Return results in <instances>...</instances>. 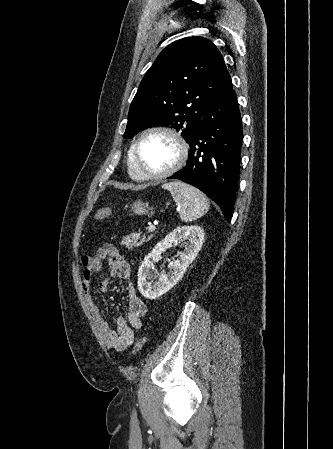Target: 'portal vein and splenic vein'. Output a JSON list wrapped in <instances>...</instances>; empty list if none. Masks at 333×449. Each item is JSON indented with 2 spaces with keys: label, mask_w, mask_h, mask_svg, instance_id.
Returning <instances> with one entry per match:
<instances>
[{
  "label": "portal vein and splenic vein",
  "mask_w": 333,
  "mask_h": 449,
  "mask_svg": "<svg viewBox=\"0 0 333 449\" xmlns=\"http://www.w3.org/2000/svg\"><path fill=\"white\" fill-rule=\"evenodd\" d=\"M155 226L154 225H150L149 227H148V231L149 232H153V231H155Z\"/></svg>",
  "instance_id": "obj_1"
}]
</instances>
